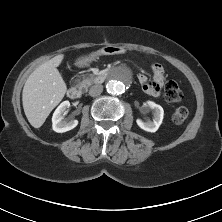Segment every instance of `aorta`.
Returning <instances> with one entry per match:
<instances>
[{
  "label": "aorta",
  "mask_w": 222,
  "mask_h": 222,
  "mask_svg": "<svg viewBox=\"0 0 222 222\" xmlns=\"http://www.w3.org/2000/svg\"><path fill=\"white\" fill-rule=\"evenodd\" d=\"M130 82V74L125 70H118L109 78L106 84L107 92L113 95L122 94Z\"/></svg>",
  "instance_id": "obj_1"
}]
</instances>
